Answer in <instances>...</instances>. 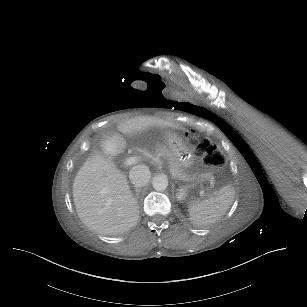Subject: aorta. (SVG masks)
I'll use <instances>...</instances> for the list:
<instances>
[{
    "label": "aorta",
    "mask_w": 307,
    "mask_h": 307,
    "mask_svg": "<svg viewBox=\"0 0 307 307\" xmlns=\"http://www.w3.org/2000/svg\"><path fill=\"white\" fill-rule=\"evenodd\" d=\"M152 186L156 191H163L168 187V179L164 175L153 177Z\"/></svg>",
    "instance_id": "aorta-1"
}]
</instances>
